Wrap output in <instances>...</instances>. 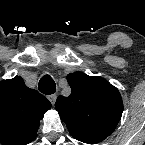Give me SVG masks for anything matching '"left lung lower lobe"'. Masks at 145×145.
Here are the masks:
<instances>
[{
	"label": "left lung lower lobe",
	"instance_id": "obj_1",
	"mask_svg": "<svg viewBox=\"0 0 145 145\" xmlns=\"http://www.w3.org/2000/svg\"><path fill=\"white\" fill-rule=\"evenodd\" d=\"M71 135L79 141L96 144L108 137L112 131L109 129H79L74 128L69 131Z\"/></svg>",
	"mask_w": 145,
	"mask_h": 145
}]
</instances>
